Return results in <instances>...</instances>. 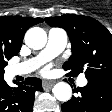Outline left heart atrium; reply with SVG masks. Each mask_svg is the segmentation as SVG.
Returning a JSON list of instances; mask_svg holds the SVG:
<instances>
[{
    "label": "left heart atrium",
    "mask_w": 112,
    "mask_h": 112,
    "mask_svg": "<svg viewBox=\"0 0 112 112\" xmlns=\"http://www.w3.org/2000/svg\"><path fill=\"white\" fill-rule=\"evenodd\" d=\"M49 67H50V66H46V67L43 69V73H46V72L49 70Z\"/></svg>",
    "instance_id": "1"
}]
</instances>
